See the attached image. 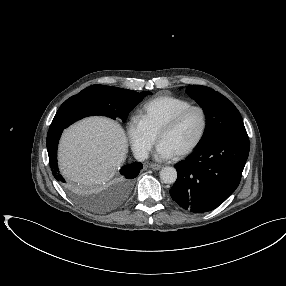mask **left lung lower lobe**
Instances as JSON below:
<instances>
[{"mask_svg": "<svg viewBox=\"0 0 286 286\" xmlns=\"http://www.w3.org/2000/svg\"><path fill=\"white\" fill-rule=\"evenodd\" d=\"M249 148V138L241 136L217 137L197 145L176 164L172 199L194 213L215 209L238 187Z\"/></svg>", "mask_w": 286, "mask_h": 286, "instance_id": "left-lung-lower-lobe-1", "label": "left lung lower lobe"}]
</instances>
